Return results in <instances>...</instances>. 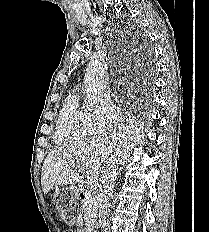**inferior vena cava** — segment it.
Wrapping results in <instances>:
<instances>
[{
    "mask_svg": "<svg viewBox=\"0 0 209 232\" xmlns=\"http://www.w3.org/2000/svg\"><path fill=\"white\" fill-rule=\"evenodd\" d=\"M112 151V150H111ZM116 163L112 162L100 180L98 189V202H99V225L102 228H107V213L108 204L112 196L114 182L116 178Z\"/></svg>",
    "mask_w": 209,
    "mask_h": 232,
    "instance_id": "602c4592",
    "label": "inferior vena cava"
}]
</instances>
